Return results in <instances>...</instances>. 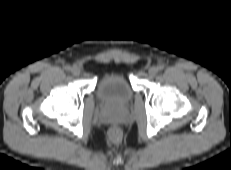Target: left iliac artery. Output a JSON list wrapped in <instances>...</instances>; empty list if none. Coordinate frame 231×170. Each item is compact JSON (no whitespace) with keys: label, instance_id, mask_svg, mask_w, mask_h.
<instances>
[{"label":"left iliac artery","instance_id":"left-iliac-artery-1","mask_svg":"<svg viewBox=\"0 0 231 170\" xmlns=\"http://www.w3.org/2000/svg\"><path fill=\"white\" fill-rule=\"evenodd\" d=\"M157 69H158L159 71H161V70L164 69V66H163V65H158Z\"/></svg>","mask_w":231,"mask_h":170}]
</instances>
